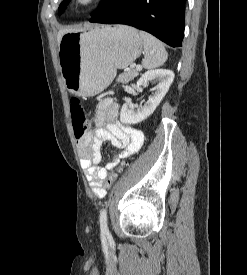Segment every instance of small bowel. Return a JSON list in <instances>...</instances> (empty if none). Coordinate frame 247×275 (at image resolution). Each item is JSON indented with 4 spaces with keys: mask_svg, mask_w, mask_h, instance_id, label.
Segmentation results:
<instances>
[{
    "mask_svg": "<svg viewBox=\"0 0 247 275\" xmlns=\"http://www.w3.org/2000/svg\"><path fill=\"white\" fill-rule=\"evenodd\" d=\"M119 105L112 99L100 101L95 112V129L77 142L81 164L85 170L92 192L99 198L106 195L104 180L108 172L116 167L120 159L136 153L142 146V131L121 123L118 119ZM108 142L121 150L104 167L99 166L102 144Z\"/></svg>",
    "mask_w": 247,
    "mask_h": 275,
    "instance_id": "1",
    "label": "small bowel"
}]
</instances>
